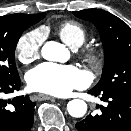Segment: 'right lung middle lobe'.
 I'll return each mask as SVG.
<instances>
[{
  "label": "right lung middle lobe",
  "mask_w": 131,
  "mask_h": 131,
  "mask_svg": "<svg viewBox=\"0 0 131 131\" xmlns=\"http://www.w3.org/2000/svg\"><path fill=\"white\" fill-rule=\"evenodd\" d=\"M33 24L0 19V78L9 79L19 75L14 61L16 45L23 31Z\"/></svg>",
  "instance_id": "right-lung-middle-lobe-1"
}]
</instances>
